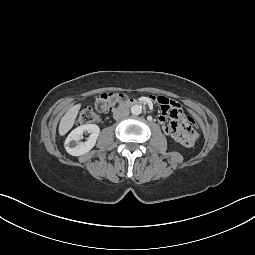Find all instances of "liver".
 I'll list each match as a JSON object with an SVG mask.
<instances>
[{
    "label": "liver",
    "instance_id": "6515ba94",
    "mask_svg": "<svg viewBox=\"0 0 255 255\" xmlns=\"http://www.w3.org/2000/svg\"><path fill=\"white\" fill-rule=\"evenodd\" d=\"M81 104H76L67 110L65 115L61 118L59 124V134L65 135L74 125L77 114L80 110Z\"/></svg>",
    "mask_w": 255,
    "mask_h": 255
}]
</instances>
